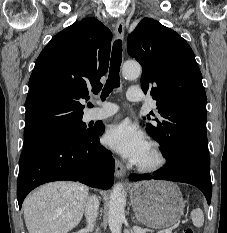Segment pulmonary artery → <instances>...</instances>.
I'll return each instance as SVG.
<instances>
[{
  "label": "pulmonary artery",
  "mask_w": 227,
  "mask_h": 233,
  "mask_svg": "<svg viewBox=\"0 0 227 233\" xmlns=\"http://www.w3.org/2000/svg\"><path fill=\"white\" fill-rule=\"evenodd\" d=\"M127 99L129 101H140L141 100V95L140 92L136 88H130L127 92ZM99 107L95 108L91 114L90 118L93 120H101V119H106L114 114L117 113L118 111V106L110 103V102H101L98 101Z\"/></svg>",
  "instance_id": "1"
}]
</instances>
